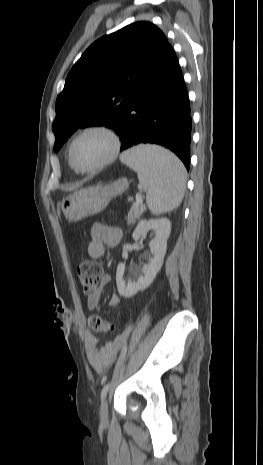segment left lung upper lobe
<instances>
[{
	"instance_id": "1",
	"label": "left lung upper lobe",
	"mask_w": 263,
	"mask_h": 465,
	"mask_svg": "<svg viewBox=\"0 0 263 465\" xmlns=\"http://www.w3.org/2000/svg\"><path fill=\"white\" fill-rule=\"evenodd\" d=\"M168 44L164 33L147 21L95 41L72 67L57 97L54 151L80 127L104 125L118 131L134 85Z\"/></svg>"
}]
</instances>
